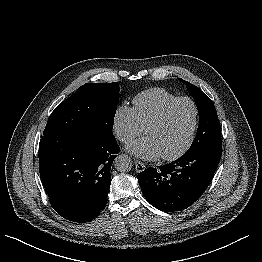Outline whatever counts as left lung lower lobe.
I'll return each instance as SVG.
<instances>
[{"instance_id":"0a47b994","label":"left lung lower lobe","mask_w":262,"mask_h":262,"mask_svg":"<svg viewBox=\"0 0 262 262\" xmlns=\"http://www.w3.org/2000/svg\"><path fill=\"white\" fill-rule=\"evenodd\" d=\"M221 150L185 153L177 160L158 168H149L137 178L146 200L161 211H180L191 206L207 189Z\"/></svg>"}]
</instances>
